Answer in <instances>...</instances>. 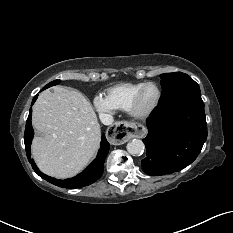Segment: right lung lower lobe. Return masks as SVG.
<instances>
[{"label":"right lung lower lobe","instance_id":"1","mask_svg":"<svg viewBox=\"0 0 233 233\" xmlns=\"http://www.w3.org/2000/svg\"><path fill=\"white\" fill-rule=\"evenodd\" d=\"M37 96L38 95H36L33 98L32 105L36 101ZM31 115H32V109L30 108L29 116L26 122V127H25L24 143H25L27 158L29 159V162L32 165V168L34 169V171L40 177H42L46 181L56 186L73 189V188L84 187V186L90 185L94 183L95 181H97L102 176L103 170H104V161L109 151V143L107 142L105 136H102L101 148L99 150L97 158L82 173H80L76 177L65 179V180H59V179L51 178L50 176H47L43 174L41 171H39L33 159H31L30 157L31 156L30 145H31V141L34 135V130L31 124Z\"/></svg>","mask_w":233,"mask_h":233}]
</instances>
